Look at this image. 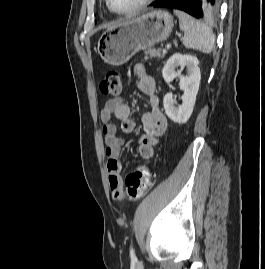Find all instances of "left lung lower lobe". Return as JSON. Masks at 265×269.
Segmentation results:
<instances>
[{
	"label": "left lung lower lobe",
	"instance_id": "obj_1",
	"mask_svg": "<svg viewBox=\"0 0 265 269\" xmlns=\"http://www.w3.org/2000/svg\"><path fill=\"white\" fill-rule=\"evenodd\" d=\"M220 0H159L154 7L182 10L198 19H215L219 13Z\"/></svg>",
	"mask_w": 265,
	"mask_h": 269
}]
</instances>
